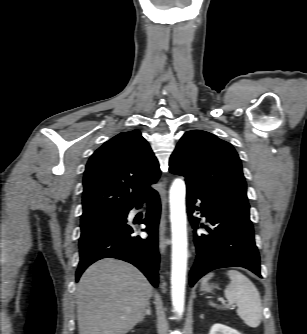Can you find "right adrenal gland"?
Segmentation results:
<instances>
[{"instance_id": "1", "label": "right adrenal gland", "mask_w": 307, "mask_h": 334, "mask_svg": "<svg viewBox=\"0 0 307 334\" xmlns=\"http://www.w3.org/2000/svg\"><path fill=\"white\" fill-rule=\"evenodd\" d=\"M147 315H151V307H150V303L148 304L145 313L143 314V316L141 317L140 321H143V319L145 318V316Z\"/></svg>"}]
</instances>
